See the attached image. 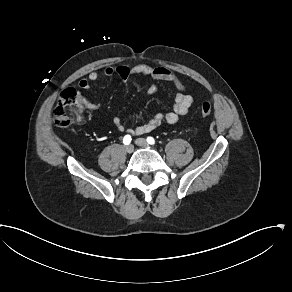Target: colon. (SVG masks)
<instances>
[{"label": "colon", "instance_id": "obj_1", "mask_svg": "<svg viewBox=\"0 0 292 292\" xmlns=\"http://www.w3.org/2000/svg\"><path fill=\"white\" fill-rule=\"evenodd\" d=\"M84 102L80 92L72 87L66 88L59 97L54 109L53 120L57 126L65 127L76 121L84 111ZM212 113V105L204 101L200 108L201 117L206 118Z\"/></svg>", "mask_w": 292, "mask_h": 292}]
</instances>
